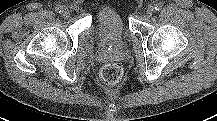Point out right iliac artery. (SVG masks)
I'll use <instances>...</instances> for the list:
<instances>
[{
    "instance_id": "obj_1",
    "label": "right iliac artery",
    "mask_w": 217,
    "mask_h": 121,
    "mask_svg": "<svg viewBox=\"0 0 217 121\" xmlns=\"http://www.w3.org/2000/svg\"><path fill=\"white\" fill-rule=\"evenodd\" d=\"M56 12L61 13L63 11V7L61 5H57L55 7Z\"/></svg>"
}]
</instances>
